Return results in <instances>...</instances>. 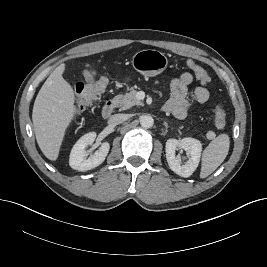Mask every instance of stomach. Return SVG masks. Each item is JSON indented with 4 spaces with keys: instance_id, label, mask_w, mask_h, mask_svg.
Returning <instances> with one entry per match:
<instances>
[{
    "instance_id": "1",
    "label": "stomach",
    "mask_w": 267,
    "mask_h": 267,
    "mask_svg": "<svg viewBox=\"0 0 267 267\" xmlns=\"http://www.w3.org/2000/svg\"><path fill=\"white\" fill-rule=\"evenodd\" d=\"M132 66L136 71L146 77H153L162 73L168 65L166 55L155 49L141 50L132 58ZM130 81L129 77L125 78Z\"/></svg>"
}]
</instances>
